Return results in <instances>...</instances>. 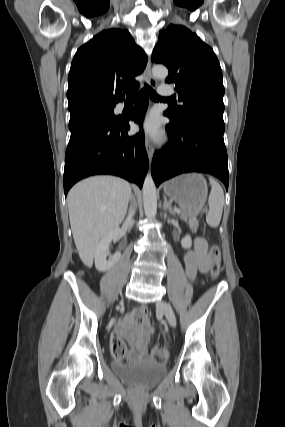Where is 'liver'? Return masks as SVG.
Segmentation results:
<instances>
[{
    "instance_id": "obj_1",
    "label": "liver",
    "mask_w": 285,
    "mask_h": 427,
    "mask_svg": "<svg viewBox=\"0 0 285 427\" xmlns=\"http://www.w3.org/2000/svg\"><path fill=\"white\" fill-rule=\"evenodd\" d=\"M130 184L114 176H94L71 188L67 203L71 230L82 262L91 267L99 241L124 220Z\"/></svg>"
}]
</instances>
